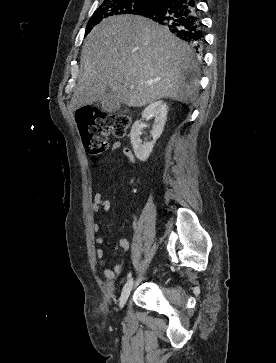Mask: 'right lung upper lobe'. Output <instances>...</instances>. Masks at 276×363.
<instances>
[{"mask_svg": "<svg viewBox=\"0 0 276 363\" xmlns=\"http://www.w3.org/2000/svg\"><path fill=\"white\" fill-rule=\"evenodd\" d=\"M153 1H155V3H156V2H158L159 0H153Z\"/></svg>", "mask_w": 276, "mask_h": 363, "instance_id": "right-lung-upper-lobe-1", "label": "right lung upper lobe"}]
</instances>
